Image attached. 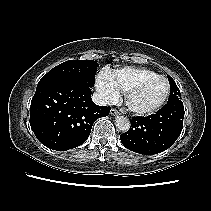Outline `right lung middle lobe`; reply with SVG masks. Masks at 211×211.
Returning <instances> with one entry per match:
<instances>
[{
    "instance_id": "right-lung-middle-lobe-1",
    "label": "right lung middle lobe",
    "mask_w": 211,
    "mask_h": 211,
    "mask_svg": "<svg viewBox=\"0 0 211 211\" xmlns=\"http://www.w3.org/2000/svg\"><path fill=\"white\" fill-rule=\"evenodd\" d=\"M97 62L94 60H69L50 70L39 81L37 88L61 81H80L94 86Z\"/></svg>"
}]
</instances>
